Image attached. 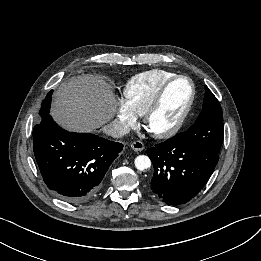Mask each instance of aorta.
Here are the masks:
<instances>
[{
  "instance_id": "obj_1",
  "label": "aorta",
  "mask_w": 261,
  "mask_h": 261,
  "mask_svg": "<svg viewBox=\"0 0 261 261\" xmlns=\"http://www.w3.org/2000/svg\"><path fill=\"white\" fill-rule=\"evenodd\" d=\"M135 167L140 171L147 170L151 167V160L148 156L139 155L135 158Z\"/></svg>"
}]
</instances>
